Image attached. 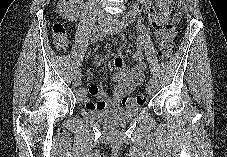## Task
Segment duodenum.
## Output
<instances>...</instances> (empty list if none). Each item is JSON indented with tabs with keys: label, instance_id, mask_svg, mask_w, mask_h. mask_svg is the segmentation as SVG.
Segmentation results:
<instances>
[{
	"label": "duodenum",
	"instance_id": "obj_1",
	"mask_svg": "<svg viewBox=\"0 0 227 157\" xmlns=\"http://www.w3.org/2000/svg\"><path fill=\"white\" fill-rule=\"evenodd\" d=\"M136 11H137V10L134 8V9L131 11V14H130V15H131V16L134 15V14L136 13ZM128 18H130V17H128Z\"/></svg>",
	"mask_w": 227,
	"mask_h": 157
}]
</instances>
